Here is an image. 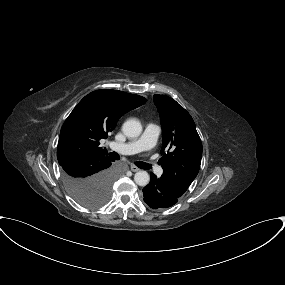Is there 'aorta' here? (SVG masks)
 <instances>
[{"mask_svg": "<svg viewBox=\"0 0 285 285\" xmlns=\"http://www.w3.org/2000/svg\"><path fill=\"white\" fill-rule=\"evenodd\" d=\"M123 133L127 137H138L142 132V125L137 119H128L122 126ZM150 176L146 171H138L134 176V181L139 186H146L149 183Z\"/></svg>", "mask_w": 285, "mask_h": 285, "instance_id": "obj_1", "label": "aorta"}]
</instances>
